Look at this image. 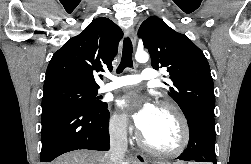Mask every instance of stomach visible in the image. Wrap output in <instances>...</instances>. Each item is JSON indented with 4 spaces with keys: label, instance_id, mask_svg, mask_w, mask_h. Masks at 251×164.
Here are the masks:
<instances>
[{
    "label": "stomach",
    "instance_id": "0dacf381",
    "mask_svg": "<svg viewBox=\"0 0 251 164\" xmlns=\"http://www.w3.org/2000/svg\"><path fill=\"white\" fill-rule=\"evenodd\" d=\"M154 164H170V163H165V162H157V163H154ZM184 164V163H182Z\"/></svg>",
    "mask_w": 251,
    "mask_h": 164
}]
</instances>
